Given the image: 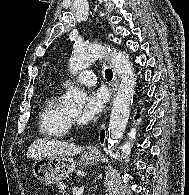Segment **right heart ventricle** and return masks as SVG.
I'll return each mask as SVG.
<instances>
[{"label":"right heart ventricle","instance_id":"obj_1","mask_svg":"<svg viewBox=\"0 0 189 195\" xmlns=\"http://www.w3.org/2000/svg\"><path fill=\"white\" fill-rule=\"evenodd\" d=\"M70 127L69 113L58 103V95L52 92L43 101L38 117V131L43 137L61 139Z\"/></svg>","mask_w":189,"mask_h":195}]
</instances>
